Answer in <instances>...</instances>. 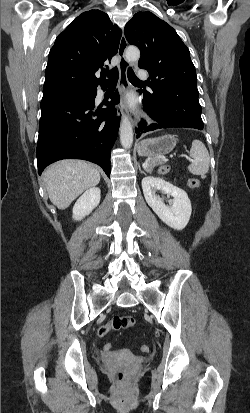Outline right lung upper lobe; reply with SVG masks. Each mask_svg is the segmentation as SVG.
I'll use <instances>...</instances> for the list:
<instances>
[{
  "mask_svg": "<svg viewBox=\"0 0 250 413\" xmlns=\"http://www.w3.org/2000/svg\"><path fill=\"white\" fill-rule=\"evenodd\" d=\"M122 31L100 10L74 19L49 52L43 96L86 91L106 84L105 65L117 54ZM100 72V78L96 73Z\"/></svg>",
  "mask_w": 250,
  "mask_h": 413,
  "instance_id": "cb5924a9",
  "label": "right lung upper lobe"
}]
</instances>
